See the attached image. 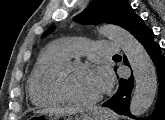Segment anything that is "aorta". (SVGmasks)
<instances>
[{"label":"aorta","instance_id":"762f6f07","mask_svg":"<svg viewBox=\"0 0 165 120\" xmlns=\"http://www.w3.org/2000/svg\"><path fill=\"white\" fill-rule=\"evenodd\" d=\"M100 33L114 40L128 58L136 84L129 108L131 114L141 116L152 105L157 90L152 60L144 47L122 27L104 25L100 28Z\"/></svg>","mask_w":165,"mask_h":120}]
</instances>
